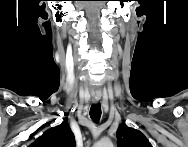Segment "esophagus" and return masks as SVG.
I'll use <instances>...</instances> for the list:
<instances>
[{
  "instance_id": "obj_1",
  "label": "esophagus",
  "mask_w": 188,
  "mask_h": 147,
  "mask_svg": "<svg viewBox=\"0 0 188 147\" xmlns=\"http://www.w3.org/2000/svg\"><path fill=\"white\" fill-rule=\"evenodd\" d=\"M100 99H101V96H100L99 94L93 95V101H94L95 103L99 102Z\"/></svg>"
}]
</instances>
